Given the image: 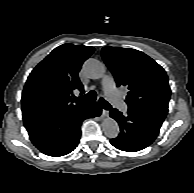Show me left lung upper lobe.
Wrapping results in <instances>:
<instances>
[{"instance_id":"5c2ea615","label":"left lung upper lobe","mask_w":194,"mask_h":193,"mask_svg":"<svg viewBox=\"0 0 194 193\" xmlns=\"http://www.w3.org/2000/svg\"><path fill=\"white\" fill-rule=\"evenodd\" d=\"M102 58L117 86L129 89L128 110L164 121L171 95L164 69L143 52L130 48L104 47Z\"/></svg>"}]
</instances>
